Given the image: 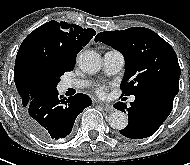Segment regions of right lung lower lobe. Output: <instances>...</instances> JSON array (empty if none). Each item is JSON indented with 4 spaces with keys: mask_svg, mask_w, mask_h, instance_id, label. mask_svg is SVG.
Returning a JSON list of instances; mask_svg holds the SVG:
<instances>
[{
    "mask_svg": "<svg viewBox=\"0 0 190 165\" xmlns=\"http://www.w3.org/2000/svg\"><path fill=\"white\" fill-rule=\"evenodd\" d=\"M92 103L85 94L73 97L59 95L57 88L37 94L25 107L22 119L28 128L44 141L67 137L77 116Z\"/></svg>",
    "mask_w": 190,
    "mask_h": 165,
    "instance_id": "right-lung-lower-lobe-1",
    "label": "right lung lower lobe"
}]
</instances>
